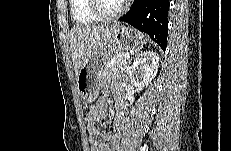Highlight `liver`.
I'll list each match as a JSON object with an SVG mask.
<instances>
[{
  "instance_id": "liver-1",
  "label": "liver",
  "mask_w": 231,
  "mask_h": 151,
  "mask_svg": "<svg viewBox=\"0 0 231 151\" xmlns=\"http://www.w3.org/2000/svg\"><path fill=\"white\" fill-rule=\"evenodd\" d=\"M118 25L119 23L114 22L85 27L77 26L70 30V51L76 79L83 63L94 53L108 46L113 31Z\"/></svg>"
}]
</instances>
